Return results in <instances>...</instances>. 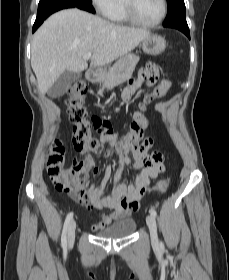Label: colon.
I'll list each match as a JSON object with an SVG mask.
<instances>
[{"mask_svg":"<svg viewBox=\"0 0 229 280\" xmlns=\"http://www.w3.org/2000/svg\"><path fill=\"white\" fill-rule=\"evenodd\" d=\"M170 86L164 85L167 90ZM87 86L85 81L76 80L71 83L67 89L68 95V113L69 120L74 126L73 140L78 150L83 154H101L104 149L99 139L91 134L93 127H99L102 131L110 132L111 125L105 121H99L87 117V112L84 106ZM147 119L140 112L134 115L128 132L123 138V145L126 148L132 149L144 139ZM66 161V152L63 142L57 139L51 147V152L47 160V171L50 178L58 182V188L66 192H75L76 187L72 183L67 182L60 176V170ZM146 169L153 173H159L164 167V155L160 151H153L144 160ZM88 183L86 182L85 185ZM170 184V179L159 181L151 190L153 192H162L167 189ZM148 185H145L139 190V195L142 196L148 191ZM132 205L139 207V201L133 200Z\"/></svg>","mask_w":229,"mask_h":280,"instance_id":"1","label":"colon"}]
</instances>
